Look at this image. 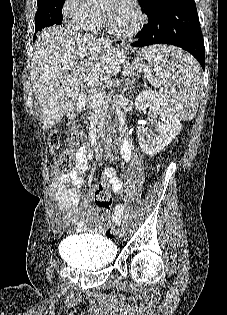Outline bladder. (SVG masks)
I'll use <instances>...</instances> for the list:
<instances>
[{
    "label": "bladder",
    "mask_w": 227,
    "mask_h": 315,
    "mask_svg": "<svg viewBox=\"0 0 227 315\" xmlns=\"http://www.w3.org/2000/svg\"><path fill=\"white\" fill-rule=\"evenodd\" d=\"M61 254L78 269L96 270L113 264L116 246L99 235H77L65 241Z\"/></svg>",
    "instance_id": "bladder-1"
}]
</instances>
